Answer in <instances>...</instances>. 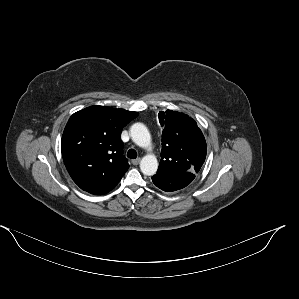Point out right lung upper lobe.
I'll return each instance as SVG.
<instances>
[{
    "instance_id": "1",
    "label": "right lung upper lobe",
    "mask_w": 299,
    "mask_h": 299,
    "mask_svg": "<svg viewBox=\"0 0 299 299\" xmlns=\"http://www.w3.org/2000/svg\"><path fill=\"white\" fill-rule=\"evenodd\" d=\"M137 112L91 106L74 113L63 132L61 151L73 181L84 191L103 195L129 168L123 154L122 128Z\"/></svg>"
}]
</instances>
